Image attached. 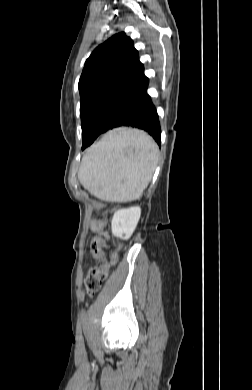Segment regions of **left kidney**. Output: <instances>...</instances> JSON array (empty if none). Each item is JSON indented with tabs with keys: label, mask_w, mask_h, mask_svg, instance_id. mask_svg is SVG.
<instances>
[{
	"label": "left kidney",
	"mask_w": 252,
	"mask_h": 390,
	"mask_svg": "<svg viewBox=\"0 0 252 390\" xmlns=\"http://www.w3.org/2000/svg\"><path fill=\"white\" fill-rule=\"evenodd\" d=\"M140 216L141 209L139 206L116 211L111 221L112 234L128 240L132 236Z\"/></svg>",
	"instance_id": "left-kidney-1"
}]
</instances>
